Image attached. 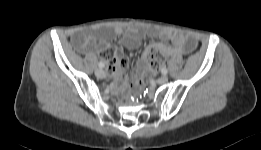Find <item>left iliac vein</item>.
Returning <instances> with one entry per match:
<instances>
[{
	"label": "left iliac vein",
	"instance_id": "1",
	"mask_svg": "<svg viewBox=\"0 0 261 150\" xmlns=\"http://www.w3.org/2000/svg\"><path fill=\"white\" fill-rule=\"evenodd\" d=\"M168 81V77L166 75L161 76L158 78L157 83L158 84H165Z\"/></svg>",
	"mask_w": 261,
	"mask_h": 150
}]
</instances>
